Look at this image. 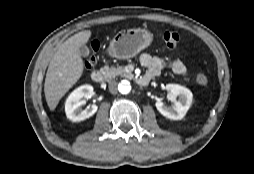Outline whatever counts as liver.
<instances>
[{"label": "liver", "instance_id": "6515ba94", "mask_svg": "<svg viewBox=\"0 0 254 174\" xmlns=\"http://www.w3.org/2000/svg\"><path fill=\"white\" fill-rule=\"evenodd\" d=\"M92 32H78L62 43L53 55L46 73L44 93L51 111L60 99L80 79L84 70L80 47L85 45Z\"/></svg>", "mask_w": 254, "mask_h": 174}]
</instances>
